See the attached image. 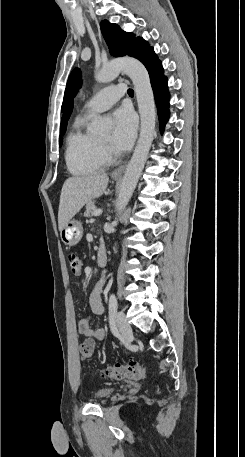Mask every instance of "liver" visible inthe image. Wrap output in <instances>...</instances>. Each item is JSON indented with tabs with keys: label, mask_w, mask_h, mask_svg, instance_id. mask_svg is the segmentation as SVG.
Here are the masks:
<instances>
[{
	"label": "liver",
	"mask_w": 245,
	"mask_h": 457,
	"mask_svg": "<svg viewBox=\"0 0 245 457\" xmlns=\"http://www.w3.org/2000/svg\"><path fill=\"white\" fill-rule=\"evenodd\" d=\"M108 180L106 172H90L84 176H70L65 180L58 210L59 231L64 229L68 220H71L86 202L103 194Z\"/></svg>",
	"instance_id": "liver-1"
}]
</instances>
